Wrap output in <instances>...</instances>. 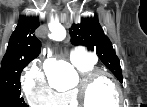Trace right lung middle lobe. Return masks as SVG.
Listing matches in <instances>:
<instances>
[{
  "mask_svg": "<svg viewBox=\"0 0 147 107\" xmlns=\"http://www.w3.org/2000/svg\"><path fill=\"white\" fill-rule=\"evenodd\" d=\"M27 65L17 72L12 71L0 76V107H28L20 97V75Z\"/></svg>",
  "mask_w": 147,
  "mask_h": 107,
  "instance_id": "1",
  "label": "right lung middle lobe"
}]
</instances>
